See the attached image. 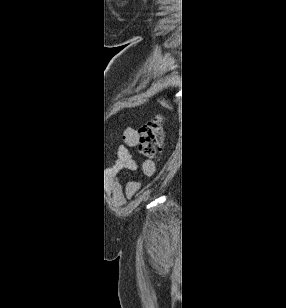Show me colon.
Instances as JSON below:
<instances>
[{
  "label": "colon",
  "mask_w": 286,
  "mask_h": 308,
  "mask_svg": "<svg viewBox=\"0 0 286 308\" xmlns=\"http://www.w3.org/2000/svg\"><path fill=\"white\" fill-rule=\"evenodd\" d=\"M163 140V120L157 116L141 130L138 146L140 153L145 157H154L160 150Z\"/></svg>",
  "instance_id": "obj_1"
}]
</instances>
